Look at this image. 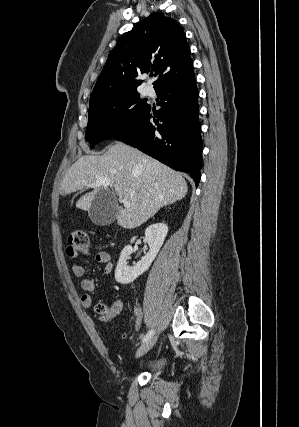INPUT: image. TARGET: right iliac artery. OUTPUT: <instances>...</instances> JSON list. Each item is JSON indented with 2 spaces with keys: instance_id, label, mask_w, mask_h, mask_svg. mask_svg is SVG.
Returning a JSON list of instances; mask_svg holds the SVG:
<instances>
[{
  "instance_id": "right-iliac-artery-1",
  "label": "right iliac artery",
  "mask_w": 299,
  "mask_h": 427,
  "mask_svg": "<svg viewBox=\"0 0 299 427\" xmlns=\"http://www.w3.org/2000/svg\"><path fill=\"white\" fill-rule=\"evenodd\" d=\"M154 334V330H150L142 339V342H146L147 340H149Z\"/></svg>"
}]
</instances>
